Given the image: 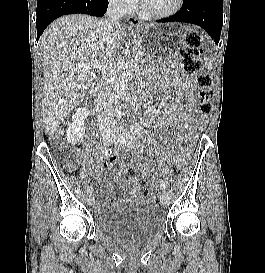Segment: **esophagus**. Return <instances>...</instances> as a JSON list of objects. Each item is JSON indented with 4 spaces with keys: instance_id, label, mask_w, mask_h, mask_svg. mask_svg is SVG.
Segmentation results:
<instances>
[{
    "instance_id": "1",
    "label": "esophagus",
    "mask_w": 265,
    "mask_h": 273,
    "mask_svg": "<svg viewBox=\"0 0 265 273\" xmlns=\"http://www.w3.org/2000/svg\"><path fill=\"white\" fill-rule=\"evenodd\" d=\"M129 21V24L132 25V26H139L142 24L141 20L137 19V18H133V17H130L128 19Z\"/></svg>"
}]
</instances>
